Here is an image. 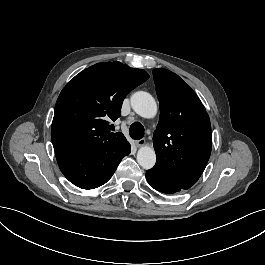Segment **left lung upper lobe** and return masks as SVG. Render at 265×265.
I'll use <instances>...</instances> for the list:
<instances>
[{"label":"left lung upper lobe","instance_id":"1","mask_svg":"<svg viewBox=\"0 0 265 265\" xmlns=\"http://www.w3.org/2000/svg\"><path fill=\"white\" fill-rule=\"evenodd\" d=\"M160 118L153 135L156 165L152 171L182 189L191 188L211 154V125L200 99L178 75L154 69Z\"/></svg>","mask_w":265,"mask_h":265}]
</instances>
